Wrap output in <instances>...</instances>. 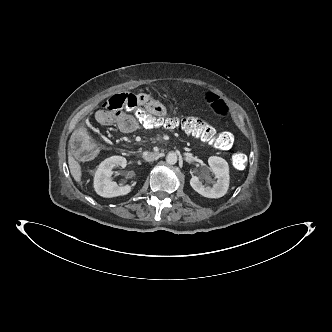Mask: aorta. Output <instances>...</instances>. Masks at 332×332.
Segmentation results:
<instances>
[{"label": "aorta", "mask_w": 332, "mask_h": 332, "mask_svg": "<svg viewBox=\"0 0 332 332\" xmlns=\"http://www.w3.org/2000/svg\"><path fill=\"white\" fill-rule=\"evenodd\" d=\"M178 157L175 152H169L166 157V162L170 165H174L177 163Z\"/></svg>", "instance_id": "1"}]
</instances>
